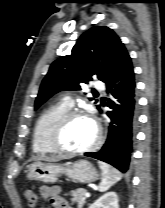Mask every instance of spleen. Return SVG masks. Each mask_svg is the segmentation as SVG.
Masks as SVG:
<instances>
[{"label":"spleen","mask_w":165,"mask_h":208,"mask_svg":"<svg viewBox=\"0 0 165 208\" xmlns=\"http://www.w3.org/2000/svg\"><path fill=\"white\" fill-rule=\"evenodd\" d=\"M98 164L102 170V179L98 189L100 192H105L111 186L117 183L121 179L122 175L117 169L113 168L107 163L100 161L98 162Z\"/></svg>","instance_id":"spleen-1"}]
</instances>
